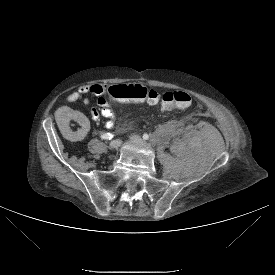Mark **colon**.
<instances>
[{"instance_id": "colon-1", "label": "colon", "mask_w": 275, "mask_h": 275, "mask_svg": "<svg viewBox=\"0 0 275 275\" xmlns=\"http://www.w3.org/2000/svg\"><path fill=\"white\" fill-rule=\"evenodd\" d=\"M159 99H161L162 108L165 110L187 109L192 103L190 94L185 91H169L160 98L154 89L139 84L113 86L105 94V101L109 105H116L119 101L155 104Z\"/></svg>"}]
</instances>
